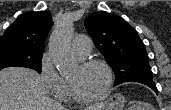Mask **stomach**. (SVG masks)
Wrapping results in <instances>:
<instances>
[{"instance_id": "obj_1", "label": "stomach", "mask_w": 171, "mask_h": 110, "mask_svg": "<svg viewBox=\"0 0 171 110\" xmlns=\"http://www.w3.org/2000/svg\"><path fill=\"white\" fill-rule=\"evenodd\" d=\"M124 103L125 98L120 94H115L99 108H93L92 110H123Z\"/></svg>"}]
</instances>
